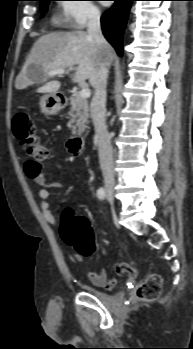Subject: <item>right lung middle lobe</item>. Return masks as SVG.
Returning a JSON list of instances; mask_svg holds the SVG:
<instances>
[{"instance_id":"right-lung-middle-lobe-1","label":"right lung middle lobe","mask_w":193,"mask_h":349,"mask_svg":"<svg viewBox=\"0 0 193 349\" xmlns=\"http://www.w3.org/2000/svg\"><path fill=\"white\" fill-rule=\"evenodd\" d=\"M39 1H41V10L43 13H45L47 10L49 1H51V0H39Z\"/></svg>"}]
</instances>
